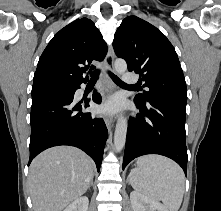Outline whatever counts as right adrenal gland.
<instances>
[{
    "mask_svg": "<svg viewBox=\"0 0 221 211\" xmlns=\"http://www.w3.org/2000/svg\"><path fill=\"white\" fill-rule=\"evenodd\" d=\"M91 185H93V179H92L91 182H90V186H91ZM90 186H89V187H90Z\"/></svg>",
    "mask_w": 221,
    "mask_h": 211,
    "instance_id": "right-adrenal-gland-1",
    "label": "right adrenal gland"
}]
</instances>
